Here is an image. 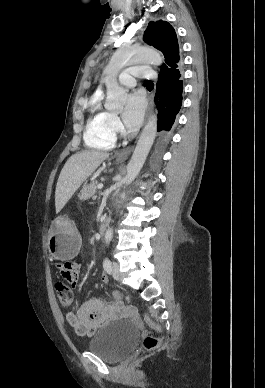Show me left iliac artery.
Instances as JSON below:
<instances>
[{
    "label": "left iliac artery",
    "instance_id": "left-iliac-artery-1",
    "mask_svg": "<svg viewBox=\"0 0 265 388\" xmlns=\"http://www.w3.org/2000/svg\"><path fill=\"white\" fill-rule=\"evenodd\" d=\"M103 267H104V270L107 272V273H110L112 271V263L110 261L109 258H105L104 261H103Z\"/></svg>",
    "mask_w": 265,
    "mask_h": 388
}]
</instances>
